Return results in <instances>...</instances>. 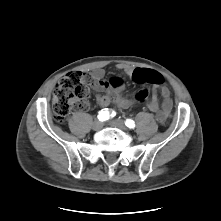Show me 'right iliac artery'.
Wrapping results in <instances>:
<instances>
[{
	"instance_id": "1",
	"label": "right iliac artery",
	"mask_w": 221,
	"mask_h": 221,
	"mask_svg": "<svg viewBox=\"0 0 221 221\" xmlns=\"http://www.w3.org/2000/svg\"><path fill=\"white\" fill-rule=\"evenodd\" d=\"M108 109H102L100 112H99V115H98V119L100 121H106L109 119L110 115H109V112L107 111Z\"/></svg>"
}]
</instances>
